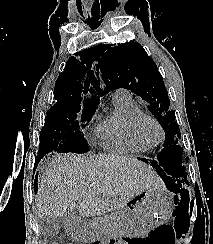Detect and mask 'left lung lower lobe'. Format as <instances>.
I'll return each mask as SVG.
<instances>
[{"mask_svg": "<svg viewBox=\"0 0 213 244\" xmlns=\"http://www.w3.org/2000/svg\"><path fill=\"white\" fill-rule=\"evenodd\" d=\"M143 161L148 162L147 160ZM151 165L158 171L166 184L176 188L181 187L175 182L173 175H171L170 162L165 154H159L155 160L151 161Z\"/></svg>", "mask_w": 213, "mask_h": 244, "instance_id": "left-lung-lower-lobe-1", "label": "left lung lower lobe"}]
</instances>
